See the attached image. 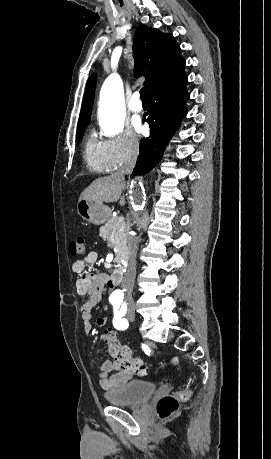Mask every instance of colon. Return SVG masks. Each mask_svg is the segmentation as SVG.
I'll return each instance as SVG.
<instances>
[{
  "instance_id": "colon-1",
  "label": "colon",
  "mask_w": 271,
  "mask_h": 459,
  "mask_svg": "<svg viewBox=\"0 0 271 459\" xmlns=\"http://www.w3.org/2000/svg\"><path fill=\"white\" fill-rule=\"evenodd\" d=\"M69 251L72 256H83L86 253L85 239L79 237L72 241L69 245ZM103 338L107 344L109 354L120 364L122 369L130 371L137 376L147 374L148 367L145 362L140 358L133 357L131 349L119 342L114 331H105ZM177 363L178 358L174 357L171 360V364L176 365ZM189 395V391L182 390L162 397L156 406L158 416L161 419L173 416L177 412L180 402L186 400Z\"/></svg>"
}]
</instances>
